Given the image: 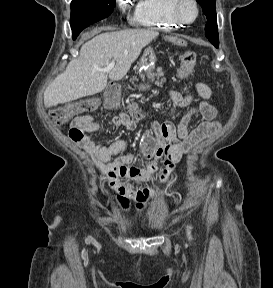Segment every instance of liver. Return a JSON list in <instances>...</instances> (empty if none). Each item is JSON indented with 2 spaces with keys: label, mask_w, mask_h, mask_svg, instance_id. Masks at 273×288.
I'll use <instances>...</instances> for the list:
<instances>
[{
  "label": "liver",
  "mask_w": 273,
  "mask_h": 288,
  "mask_svg": "<svg viewBox=\"0 0 273 288\" xmlns=\"http://www.w3.org/2000/svg\"><path fill=\"white\" fill-rule=\"evenodd\" d=\"M159 35L153 29H127L106 32L82 45L79 57L72 60L44 92L46 108L100 93L111 81L121 80L142 49ZM111 61L116 65L102 71Z\"/></svg>",
  "instance_id": "obj_1"
}]
</instances>
